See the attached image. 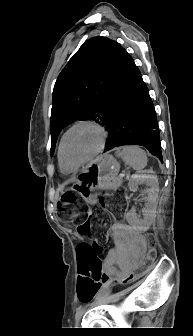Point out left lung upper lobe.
Instances as JSON below:
<instances>
[{
	"instance_id": "5c2ea615",
	"label": "left lung upper lobe",
	"mask_w": 193,
	"mask_h": 336,
	"mask_svg": "<svg viewBox=\"0 0 193 336\" xmlns=\"http://www.w3.org/2000/svg\"><path fill=\"white\" fill-rule=\"evenodd\" d=\"M128 53L106 37L87 40L59 74L50 119L51 155L60 131L74 120L105 126Z\"/></svg>"
}]
</instances>
